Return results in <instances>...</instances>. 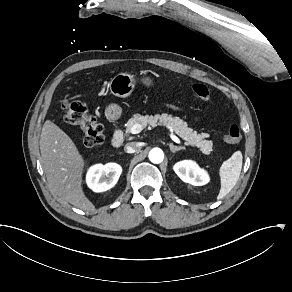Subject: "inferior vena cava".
I'll return each instance as SVG.
<instances>
[{
  "instance_id": "obj_1",
  "label": "inferior vena cava",
  "mask_w": 292,
  "mask_h": 292,
  "mask_svg": "<svg viewBox=\"0 0 292 292\" xmlns=\"http://www.w3.org/2000/svg\"><path fill=\"white\" fill-rule=\"evenodd\" d=\"M140 149V146L137 142H130L125 145V152L127 153H135Z\"/></svg>"
}]
</instances>
